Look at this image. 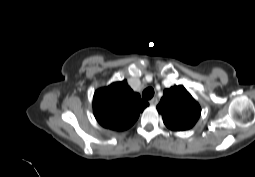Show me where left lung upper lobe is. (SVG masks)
Here are the masks:
<instances>
[{
    "label": "left lung upper lobe",
    "instance_id": "left-lung-upper-lobe-1",
    "mask_svg": "<svg viewBox=\"0 0 255 177\" xmlns=\"http://www.w3.org/2000/svg\"><path fill=\"white\" fill-rule=\"evenodd\" d=\"M157 110L167 128L173 131L192 128L201 114L200 105L182 85L165 89Z\"/></svg>",
    "mask_w": 255,
    "mask_h": 177
}]
</instances>
